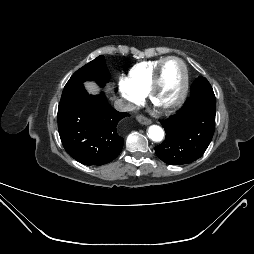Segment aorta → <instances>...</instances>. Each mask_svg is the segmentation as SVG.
<instances>
[{
  "label": "aorta",
  "instance_id": "obj_1",
  "mask_svg": "<svg viewBox=\"0 0 254 254\" xmlns=\"http://www.w3.org/2000/svg\"><path fill=\"white\" fill-rule=\"evenodd\" d=\"M149 138L154 142H160L164 137V131L160 126L152 125L148 130Z\"/></svg>",
  "mask_w": 254,
  "mask_h": 254
}]
</instances>
